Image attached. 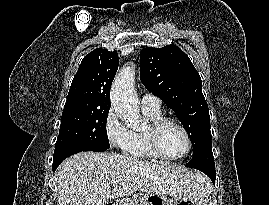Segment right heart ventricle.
I'll return each instance as SVG.
<instances>
[{"mask_svg": "<svg viewBox=\"0 0 269 205\" xmlns=\"http://www.w3.org/2000/svg\"><path fill=\"white\" fill-rule=\"evenodd\" d=\"M143 113L149 123H152L159 118L163 117L160 110H148L143 109ZM125 154L134 158L141 159H156L154 153L150 149L147 138L146 130H134L131 131V138L128 146L124 150Z\"/></svg>", "mask_w": 269, "mask_h": 205, "instance_id": "e07e8e85", "label": "right heart ventricle"}]
</instances>
